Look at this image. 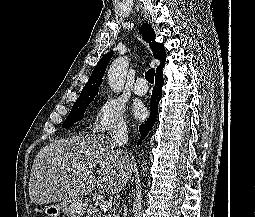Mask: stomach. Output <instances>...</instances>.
Returning a JSON list of instances; mask_svg holds the SVG:
<instances>
[{
  "label": "stomach",
  "instance_id": "0dacf381",
  "mask_svg": "<svg viewBox=\"0 0 255 217\" xmlns=\"http://www.w3.org/2000/svg\"><path fill=\"white\" fill-rule=\"evenodd\" d=\"M86 209V202L80 199L72 202L47 205L44 207L43 212L46 217H59L61 213H64L68 217H83Z\"/></svg>",
  "mask_w": 255,
  "mask_h": 217
}]
</instances>
